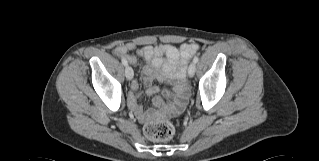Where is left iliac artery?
<instances>
[{
  "label": "left iliac artery",
  "instance_id": "44dca946",
  "mask_svg": "<svg viewBox=\"0 0 319 161\" xmlns=\"http://www.w3.org/2000/svg\"><path fill=\"white\" fill-rule=\"evenodd\" d=\"M199 61V58L198 57H195L194 59H193V62L196 64L197 62Z\"/></svg>",
  "mask_w": 319,
  "mask_h": 161
}]
</instances>
